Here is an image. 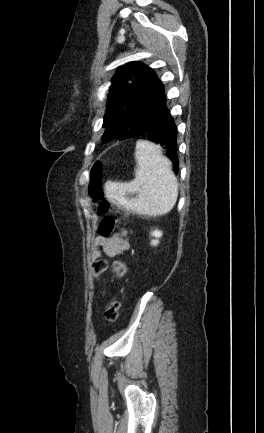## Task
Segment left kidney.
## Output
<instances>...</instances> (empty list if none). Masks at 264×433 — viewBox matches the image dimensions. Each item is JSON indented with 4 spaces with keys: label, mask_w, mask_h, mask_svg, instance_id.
Instances as JSON below:
<instances>
[{
    "label": "left kidney",
    "mask_w": 264,
    "mask_h": 433,
    "mask_svg": "<svg viewBox=\"0 0 264 433\" xmlns=\"http://www.w3.org/2000/svg\"><path fill=\"white\" fill-rule=\"evenodd\" d=\"M151 235L156 238V239L151 241V245L156 246L159 243L158 239L162 236V232L159 230H154V231H152Z\"/></svg>",
    "instance_id": "obj_1"
}]
</instances>
